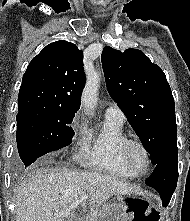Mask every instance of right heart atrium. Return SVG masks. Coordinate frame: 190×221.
<instances>
[{
  "label": "right heart atrium",
  "mask_w": 190,
  "mask_h": 221,
  "mask_svg": "<svg viewBox=\"0 0 190 221\" xmlns=\"http://www.w3.org/2000/svg\"><path fill=\"white\" fill-rule=\"evenodd\" d=\"M72 144L74 159L77 161L86 159L89 150V130L79 117L73 122Z\"/></svg>",
  "instance_id": "obj_1"
}]
</instances>
